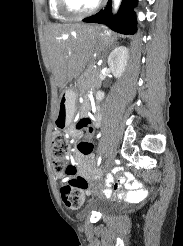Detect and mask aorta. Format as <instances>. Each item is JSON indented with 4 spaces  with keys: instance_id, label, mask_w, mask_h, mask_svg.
Listing matches in <instances>:
<instances>
[{
    "instance_id": "obj_1",
    "label": "aorta",
    "mask_w": 183,
    "mask_h": 246,
    "mask_svg": "<svg viewBox=\"0 0 183 246\" xmlns=\"http://www.w3.org/2000/svg\"><path fill=\"white\" fill-rule=\"evenodd\" d=\"M121 1L122 0H113V9H114V12H116L121 4Z\"/></svg>"
}]
</instances>
